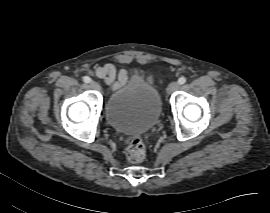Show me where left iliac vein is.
Returning <instances> with one entry per match:
<instances>
[{
	"label": "left iliac vein",
	"mask_w": 270,
	"mask_h": 213,
	"mask_svg": "<svg viewBox=\"0 0 270 213\" xmlns=\"http://www.w3.org/2000/svg\"><path fill=\"white\" fill-rule=\"evenodd\" d=\"M179 87V83L177 81L171 82L167 87V94L173 93Z\"/></svg>",
	"instance_id": "left-iliac-vein-1"
}]
</instances>
